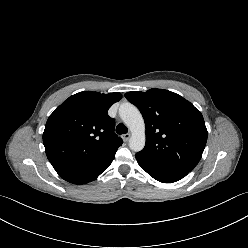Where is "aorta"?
Here are the masks:
<instances>
[{
    "mask_svg": "<svg viewBox=\"0 0 248 248\" xmlns=\"http://www.w3.org/2000/svg\"><path fill=\"white\" fill-rule=\"evenodd\" d=\"M120 116L131 131L130 149L141 151L145 146V123L140 111L131 104H123L120 107Z\"/></svg>",
    "mask_w": 248,
    "mask_h": 248,
    "instance_id": "aorta-1",
    "label": "aorta"
}]
</instances>
